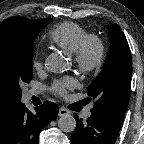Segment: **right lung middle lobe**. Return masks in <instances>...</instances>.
I'll list each match as a JSON object with an SVG mask.
<instances>
[{
  "label": "right lung middle lobe",
  "instance_id": "right-lung-middle-lobe-1",
  "mask_svg": "<svg viewBox=\"0 0 144 144\" xmlns=\"http://www.w3.org/2000/svg\"><path fill=\"white\" fill-rule=\"evenodd\" d=\"M50 20L47 18L40 25L18 28L11 38L0 44V77L19 101L22 84L29 83L33 75V41Z\"/></svg>",
  "mask_w": 144,
  "mask_h": 144
}]
</instances>
